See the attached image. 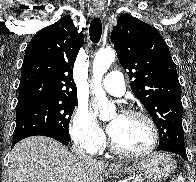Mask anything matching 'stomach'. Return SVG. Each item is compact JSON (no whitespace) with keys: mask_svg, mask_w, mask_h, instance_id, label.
<instances>
[{"mask_svg":"<svg viewBox=\"0 0 196 182\" xmlns=\"http://www.w3.org/2000/svg\"><path fill=\"white\" fill-rule=\"evenodd\" d=\"M174 167V162L170 156L164 153H154L133 166L125 168L117 166L113 169V172L118 174L137 172L144 174L151 180L161 181L173 172Z\"/></svg>","mask_w":196,"mask_h":182,"instance_id":"1","label":"stomach"}]
</instances>
